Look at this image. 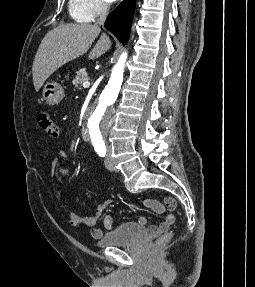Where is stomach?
<instances>
[{
  "label": "stomach",
  "instance_id": "1",
  "mask_svg": "<svg viewBox=\"0 0 255 287\" xmlns=\"http://www.w3.org/2000/svg\"><path fill=\"white\" fill-rule=\"evenodd\" d=\"M43 100L49 106H56L64 98V90L57 82H48L45 84L42 92Z\"/></svg>",
  "mask_w": 255,
  "mask_h": 287
}]
</instances>
